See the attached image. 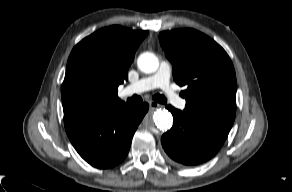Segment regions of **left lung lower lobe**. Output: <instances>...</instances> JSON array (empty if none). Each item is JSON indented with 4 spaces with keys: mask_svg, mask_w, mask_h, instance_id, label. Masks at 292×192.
Segmentation results:
<instances>
[{
    "mask_svg": "<svg viewBox=\"0 0 292 192\" xmlns=\"http://www.w3.org/2000/svg\"><path fill=\"white\" fill-rule=\"evenodd\" d=\"M174 117L172 128L161 137L167 155L177 164L192 166L212 158L226 140L233 123L187 115L168 105Z\"/></svg>",
    "mask_w": 292,
    "mask_h": 192,
    "instance_id": "obj_1",
    "label": "left lung lower lobe"
}]
</instances>
